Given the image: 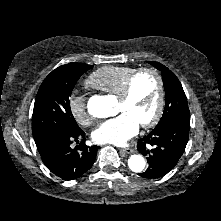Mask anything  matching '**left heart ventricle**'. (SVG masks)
Masks as SVG:
<instances>
[{
    "label": "left heart ventricle",
    "mask_w": 221,
    "mask_h": 221,
    "mask_svg": "<svg viewBox=\"0 0 221 221\" xmlns=\"http://www.w3.org/2000/svg\"><path fill=\"white\" fill-rule=\"evenodd\" d=\"M157 99L156 78L151 74H142L135 80L130 98L125 102L118 100L115 114L126 112L141 124L153 116Z\"/></svg>",
    "instance_id": "left-heart-ventricle-1"
}]
</instances>
